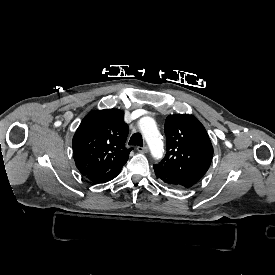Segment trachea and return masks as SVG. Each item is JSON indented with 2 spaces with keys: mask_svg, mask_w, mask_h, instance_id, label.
<instances>
[{
  "mask_svg": "<svg viewBox=\"0 0 275 275\" xmlns=\"http://www.w3.org/2000/svg\"><path fill=\"white\" fill-rule=\"evenodd\" d=\"M129 145H137L142 147L143 146V139L140 133H135L131 136Z\"/></svg>",
  "mask_w": 275,
  "mask_h": 275,
  "instance_id": "3493384b",
  "label": "trachea"
}]
</instances>
